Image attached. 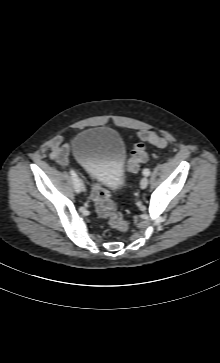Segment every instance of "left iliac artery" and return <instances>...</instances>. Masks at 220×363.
Instances as JSON below:
<instances>
[{
    "instance_id": "44dca946",
    "label": "left iliac artery",
    "mask_w": 220,
    "mask_h": 363,
    "mask_svg": "<svg viewBox=\"0 0 220 363\" xmlns=\"http://www.w3.org/2000/svg\"><path fill=\"white\" fill-rule=\"evenodd\" d=\"M143 175L144 176H149L150 175V170L149 169H144L143 170Z\"/></svg>"
}]
</instances>
